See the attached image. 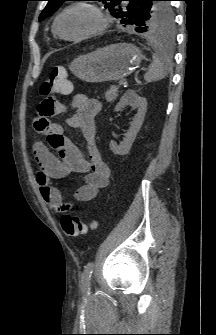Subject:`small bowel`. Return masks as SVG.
I'll list each match as a JSON object with an SVG mask.
<instances>
[{"instance_id": "obj_1", "label": "small bowel", "mask_w": 216, "mask_h": 335, "mask_svg": "<svg viewBox=\"0 0 216 335\" xmlns=\"http://www.w3.org/2000/svg\"><path fill=\"white\" fill-rule=\"evenodd\" d=\"M71 106L75 113L67 118V126L81 132L87 146L84 153L76 144L64 135L63 128L51 123L50 115H67L69 104H64L54 94H47L39 104V119H35L32 129L36 135H46L47 143L35 141L33 155L38 165L36 176L40 193L47 204L61 212L71 204L64 200L61 191L52 184L75 172L81 175V184L74 192V200L88 202L109 184L110 170L101 157L96 143L95 117L101 111V103L84 94L72 97Z\"/></svg>"}]
</instances>
